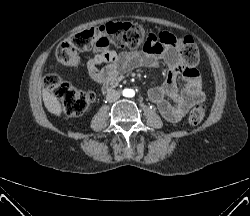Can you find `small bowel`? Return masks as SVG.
<instances>
[{
	"label": "small bowel",
	"mask_w": 250,
	"mask_h": 216,
	"mask_svg": "<svg viewBox=\"0 0 250 216\" xmlns=\"http://www.w3.org/2000/svg\"><path fill=\"white\" fill-rule=\"evenodd\" d=\"M142 44L144 49L139 51L94 50L86 64L88 75L94 82L104 84L139 67L155 68L164 60L169 66L165 81L151 88L148 97L167 121L179 122L191 107L205 99L199 72L183 63L178 40L170 32L150 31L144 35ZM104 63L107 65L99 69ZM178 76L185 80L181 90L177 87Z\"/></svg>",
	"instance_id": "c3829d8e"
}]
</instances>
